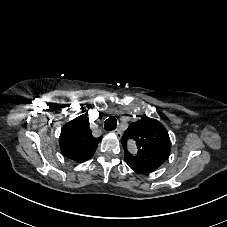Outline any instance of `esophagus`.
Listing matches in <instances>:
<instances>
[{
    "label": "esophagus",
    "instance_id": "34e87169",
    "mask_svg": "<svg viewBox=\"0 0 227 227\" xmlns=\"http://www.w3.org/2000/svg\"><path fill=\"white\" fill-rule=\"evenodd\" d=\"M114 133H115V135L117 136L118 139H120L122 137V133L119 129L114 130Z\"/></svg>",
    "mask_w": 227,
    "mask_h": 227
}]
</instances>
